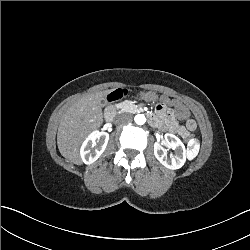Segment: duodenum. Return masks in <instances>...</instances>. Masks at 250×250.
Returning a JSON list of instances; mask_svg holds the SVG:
<instances>
[{
	"label": "duodenum",
	"instance_id": "410a0bca",
	"mask_svg": "<svg viewBox=\"0 0 250 250\" xmlns=\"http://www.w3.org/2000/svg\"><path fill=\"white\" fill-rule=\"evenodd\" d=\"M111 111H113V108H111L108 113H110ZM108 113L105 115L104 120L106 122H111L112 121V117Z\"/></svg>",
	"mask_w": 250,
	"mask_h": 250
}]
</instances>
